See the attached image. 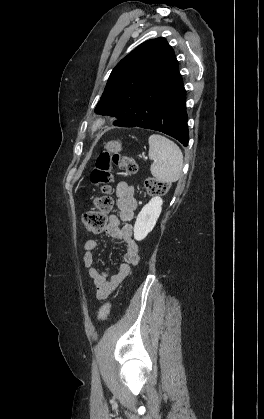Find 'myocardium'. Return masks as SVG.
Returning <instances> with one entry per match:
<instances>
[{"label": "myocardium", "mask_w": 264, "mask_h": 419, "mask_svg": "<svg viewBox=\"0 0 264 419\" xmlns=\"http://www.w3.org/2000/svg\"><path fill=\"white\" fill-rule=\"evenodd\" d=\"M106 119L104 117L97 118L91 125H90V132L92 134H96L101 128L104 126Z\"/></svg>", "instance_id": "obj_1"}]
</instances>
